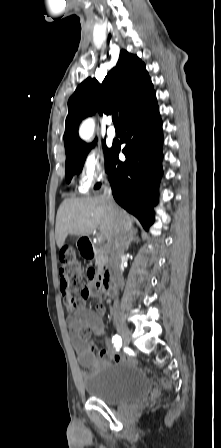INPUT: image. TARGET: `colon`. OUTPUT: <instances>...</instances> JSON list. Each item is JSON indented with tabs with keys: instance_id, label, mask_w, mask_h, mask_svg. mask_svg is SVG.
Masks as SVG:
<instances>
[{
	"instance_id": "1",
	"label": "colon",
	"mask_w": 221,
	"mask_h": 448,
	"mask_svg": "<svg viewBox=\"0 0 221 448\" xmlns=\"http://www.w3.org/2000/svg\"><path fill=\"white\" fill-rule=\"evenodd\" d=\"M60 286L64 295L73 302L78 301L86 288L84 279L95 280L99 274L95 270L84 271L81 262L76 257L75 250L71 246L64 247L60 252ZM125 362L135 364L136 361L126 358ZM165 387L169 386L167 380L163 381Z\"/></svg>"
}]
</instances>
